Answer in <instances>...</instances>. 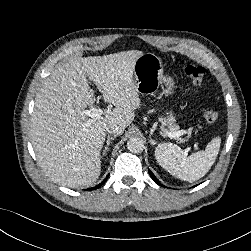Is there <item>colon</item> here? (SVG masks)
Here are the masks:
<instances>
[{"mask_svg": "<svg viewBox=\"0 0 251 251\" xmlns=\"http://www.w3.org/2000/svg\"><path fill=\"white\" fill-rule=\"evenodd\" d=\"M184 72L194 85H200L205 76V69L196 65H186ZM218 116V111L214 108L206 107L203 111V118L208 123L215 122Z\"/></svg>", "mask_w": 251, "mask_h": 251, "instance_id": "obj_1", "label": "colon"}]
</instances>
